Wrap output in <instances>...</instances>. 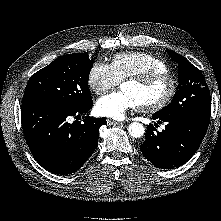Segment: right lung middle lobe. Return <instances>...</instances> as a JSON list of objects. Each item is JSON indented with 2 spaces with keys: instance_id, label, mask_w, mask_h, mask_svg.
I'll return each instance as SVG.
<instances>
[{
  "instance_id": "right-lung-middle-lobe-1",
  "label": "right lung middle lobe",
  "mask_w": 221,
  "mask_h": 221,
  "mask_svg": "<svg viewBox=\"0 0 221 221\" xmlns=\"http://www.w3.org/2000/svg\"><path fill=\"white\" fill-rule=\"evenodd\" d=\"M92 61L88 53L61 56L29 79L22 103L42 101L73 109L92 104L88 78Z\"/></svg>"
}]
</instances>
